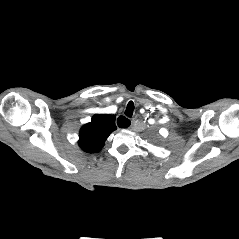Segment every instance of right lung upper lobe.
Instances as JSON below:
<instances>
[{
	"label": "right lung upper lobe",
	"mask_w": 239,
	"mask_h": 239,
	"mask_svg": "<svg viewBox=\"0 0 239 239\" xmlns=\"http://www.w3.org/2000/svg\"><path fill=\"white\" fill-rule=\"evenodd\" d=\"M116 129L115 116L108 114H96L91 122L84 125L79 134V146L85 152H99L107 137Z\"/></svg>",
	"instance_id": "obj_1"
}]
</instances>
